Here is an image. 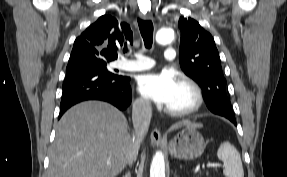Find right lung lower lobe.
Listing matches in <instances>:
<instances>
[{"mask_svg": "<svg viewBox=\"0 0 287 177\" xmlns=\"http://www.w3.org/2000/svg\"><path fill=\"white\" fill-rule=\"evenodd\" d=\"M129 80L94 68L66 72L59 117L71 106L87 100L105 101L125 110L132 100Z\"/></svg>", "mask_w": 287, "mask_h": 177, "instance_id": "obj_1", "label": "right lung lower lobe"}]
</instances>
